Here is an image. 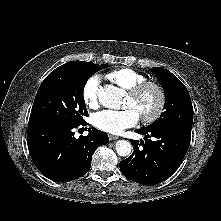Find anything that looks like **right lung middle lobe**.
<instances>
[{
    "instance_id": "obj_1",
    "label": "right lung middle lobe",
    "mask_w": 221,
    "mask_h": 221,
    "mask_svg": "<svg viewBox=\"0 0 221 221\" xmlns=\"http://www.w3.org/2000/svg\"><path fill=\"white\" fill-rule=\"evenodd\" d=\"M109 65L82 61L59 66L42 82L36 94L28 129L52 125H78L88 115L83 90L90 76Z\"/></svg>"
}]
</instances>
